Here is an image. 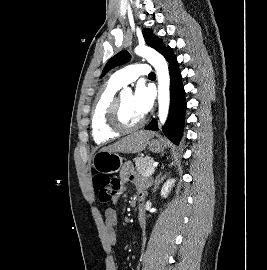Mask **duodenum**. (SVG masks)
I'll list each match as a JSON object with an SVG mask.
<instances>
[{
  "mask_svg": "<svg viewBox=\"0 0 267 270\" xmlns=\"http://www.w3.org/2000/svg\"><path fill=\"white\" fill-rule=\"evenodd\" d=\"M138 201H139V208H138V223H139V224H142V222H143V212H144V209H143V202H144V199H143V198H138Z\"/></svg>",
  "mask_w": 267,
  "mask_h": 270,
  "instance_id": "410a0bca",
  "label": "duodenum"
}]
</instances>
